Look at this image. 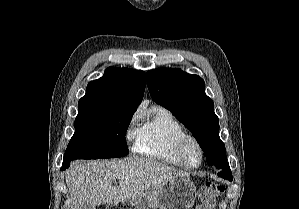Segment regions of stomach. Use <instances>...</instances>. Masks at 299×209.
Instances as JSON below:
<instances>
[{
	"label": "stomach",
	"mask_w": 299,
	"mask_h": 209,
	"mask_svg": "<svg viewBox=\"0 0 299 209\" xmlns=\"http://www.w3.org/2000/svg\"><path fill=\"white\" fill-rule=\"evenodd\" d=\"M197 189L189 177H178L144 193L134 201L110 204L107 209H191ZM116 207V208H115Z\"/></svg>",
	"instance_id": "stomach-1"
}]
</instances>
